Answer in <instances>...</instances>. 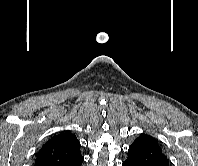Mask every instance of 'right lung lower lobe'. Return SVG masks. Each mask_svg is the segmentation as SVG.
<instances>
[{"instance_id":"1","label":"right lung lower lobe","mask_w":198,"mask_h":166,"mask_svg":"<svg viewBox=\"0 0 198 166\" xmlns=\"http://www.w3.org/2000/svg\"><path fill=\"white\" fill-rule=\"evenodd\" d=\"M83 161H84V158H81V159L75 160L71 163L65 164L63 166H81Z\"/></svg>"}]
</instances>
